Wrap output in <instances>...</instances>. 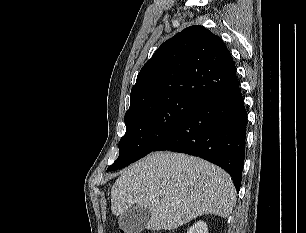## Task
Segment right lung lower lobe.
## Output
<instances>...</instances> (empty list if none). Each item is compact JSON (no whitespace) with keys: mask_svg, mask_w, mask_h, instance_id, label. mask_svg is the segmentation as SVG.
Segmentation results:
<instances>
[{"mask_svg":"<svg viewBox=\"0 0 306 233\" xmlns=\"http://www.w3.org/2000/svg\"><path fill=\"white\" fill-rule=\"evenodd\" d=\"M247 112L237 83L206 100L153 151L199 156L227 171L236 190L244 164Z\"/></svg>","mask_w":306,"mask_h":233,"instance_id":"right-lung-lower-lobe-1","label":"right lung lower lobe"}]
</instances>
